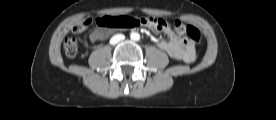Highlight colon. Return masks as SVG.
I'll list each match as a JSON object with an SVG mask.
<instances>
[{
  "instance_id": "5ec220e1",
  "label": "colon",
  "mask_w": 276,
  "mask_h": 120,
  "mask_svg": "<svg viewBox=\"0 0 276 120\" xmlns=\"http://www.w3.org/2000/svg\"><path fill=\"white\" fill-rule=\"evenodd\" d=\"M89 22H85L78 26L83 30ZM97 24L103 29H125L135 27L138 24L151 25L155 29H161L165 21L160 18H141L135 19L128 16H103L97 19ZM174 31L177 35L186 37L190 41L199 42L201 35L199 30L194 26H186L181 22L174 24ZM64 52L68 57H75L78 52V41L75 37H66L63 43Z\"/></svg>"
}]
</instances>
